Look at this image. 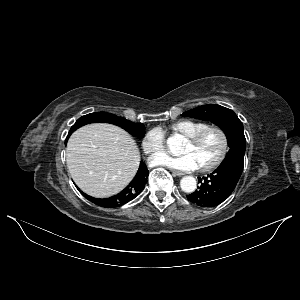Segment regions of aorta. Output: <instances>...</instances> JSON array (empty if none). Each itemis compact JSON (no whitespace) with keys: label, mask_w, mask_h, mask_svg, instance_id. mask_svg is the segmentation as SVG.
I'll return each mask as SVG.
<instances>
[{"label":"aorta","mask_w":300,"mask_h":300,"mask_svg":"<svg viewBox=\"0 0 300 300\" xmlns=\"http://www.w3.org/2000/svg\"><path fill=\"white\" fill-rule=\"evenodd\" d=\"M167 145L171 151L177 152L181 147V137L179 135L169 137L167 140ZM180 186L182 191L186 193H192L197 187V182L194 177L185 176L181 179Z\"/></svg>","instance_id":"1"}]
</instances>
